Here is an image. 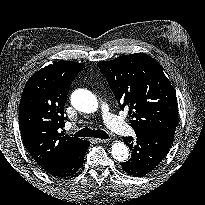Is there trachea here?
I'll return each mask as SVG.
<instances>
[{"instance_id": "obj_1", "label": "trachea", "mask_w": 205, "mask_h": 205, "mask_svg": "<svg viewBox=\"0 0 205 205\" xmlns=\"http://www.w3.org/2000/svg\"><path fill=\"white\" fill-rule=\"evenodd\" d=\"M73 136L76 137H95L100 139H107L109 135L103 130H92L90 128H82L78 132H76Z\"/></svg>"}]
</instances>
